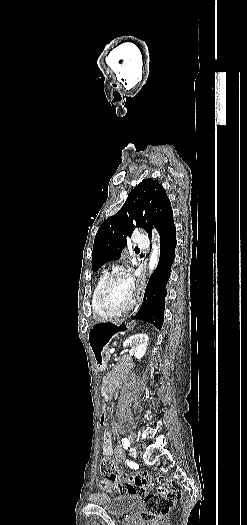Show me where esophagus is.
Returning <instances> with one entry per match:
<instances>
[{"label":"esophagus","instance_id":"esophagus-1","mask_svg":"<svg viewBox=\"0 0 247 525\" xmlns=\"http://www.w3.org/2000/svg\"><path fill=\"white\" fill-rule=\"evenodd\" d=\"M144 276H145L144 270H141L140 282H138V285H140V286L138 287V290H137V302H136V305H135L134 309L132 310L130 316L136 315L137 312L139 311L141 305H142L143 297H144V293H145V283L143 281Z\"/></svg>","mask_w":247,"mask_h":525}]
</instances>
